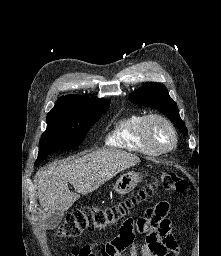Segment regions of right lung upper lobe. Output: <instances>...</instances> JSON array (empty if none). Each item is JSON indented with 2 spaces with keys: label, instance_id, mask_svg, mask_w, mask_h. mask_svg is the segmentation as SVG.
I'll list each match as a JSON object with an SVG mask.
<instances>
[{
  "label": "right lung upper lobe",
  "instance_id": "cb5924a9",
  "mask_svg": "<svg viewBox=\"0 0 221 256\" xmlns=\"http://www.w3.org/2000/svg\"><path fill=\"white\" fill-rule=\"evenodd\" d=\"M97 100L100 99H93L83 95L62 96L57 100L56 106L48 114L76 112V110H78L79 107Z\"/></svg>",
  "mask_w": 221,
  "mask_h": 256
}]
</instances>
